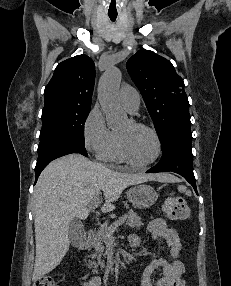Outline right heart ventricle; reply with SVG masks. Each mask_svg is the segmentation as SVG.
<instances>
[{
	"mask_svg": "<svg viewBox=\"0 0 231 286\" xmlns=\"http://www.w3.org/2000/svg\"><path fill=\"white\" fill-rule=\"evenodd\" d=\"M98 158L106 163H118L121 161L116 152L114 133L111 143L98 154Z\"/></svg>",
	"mask_w": 231,
	"mask_h": 286,
	"instance_id": "right-heart-ventricle-1",
	"label": "right heart ventricle"
}]
</instances>
